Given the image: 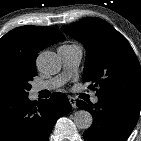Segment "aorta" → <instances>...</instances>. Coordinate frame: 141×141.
I'll return each instance as SVG.
<instances>
[{"mask_svg": "<svg viewBox=\"0 0 141 141\" xmlns=\"http://www.w3.org/2000/svg\"><path fill=\"white\" fill-rule=\"evenodd\" d=\"M39 71L46 75H53L60 71L61 62L56 53L51 51H44L40 53L36 60ZM73 121L79 129H88L93 122V117L90 112L86 110H79L75 112Z\"/></svg>", "mask_w": 141, "mask_h": 141, "instance_id": "aorta-1", "label": "aorta"}]
</instances>
